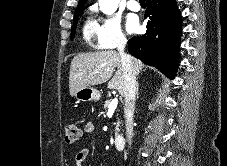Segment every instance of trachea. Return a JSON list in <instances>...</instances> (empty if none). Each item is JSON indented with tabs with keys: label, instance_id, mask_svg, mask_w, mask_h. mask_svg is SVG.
<instances>
[{
	"label": "trachea",
	"instance_id": "1",
	"mask_svg": "<svg viewBox=\"0 0 227 166\" xmlns=\"http://www.w3.org/2000/svg\"><path fill=\"white\" fill-rule=\"evenodd\" d=\"M140 3H145V0H139Z\"/></svg>",
	"mask_w": 227,
	"mask_h": 166
}]
</instances>
